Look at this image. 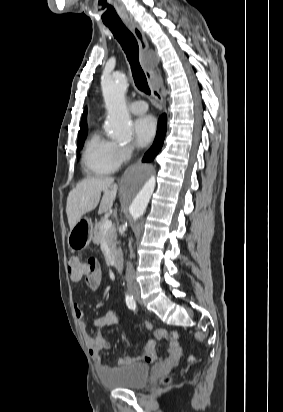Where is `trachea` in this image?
I'll return each mask as SVG.
<instances>
[{"label":"trachea","instance_id":"1","mask_svg":"<svg viewBox=\"0 0 283 412\" xmlns=\"http://www.w3.org/2000/svg\"><path fill=\"white\" fill-rule=\"evenodd\" d=\"M106 26L111 30L127 56L136 87L140 91L150 94L146 76L139 62V46L135 36L123 22L109 23Z\"/></svg>","mask_w":283,"mask_h":412}]
</instances>
